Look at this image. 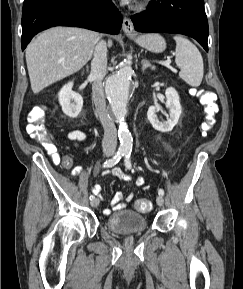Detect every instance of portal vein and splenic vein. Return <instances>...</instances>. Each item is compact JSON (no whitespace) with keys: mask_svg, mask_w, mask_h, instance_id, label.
Instances as JSON below:
<instances>
[{"mask_svg":"<svg viewBox=\"0 0 243 289\" xmlns=\"http://www.w3.org/2000/svg\"><path fill=\"white\" fill-rule=\"evenodd\" d=\"M158 63L164 66H169L171 63V60L168 58L166 61H158Z\"/></svg>","mask_w":243,"mask_h":289,"instance_id":"1","label":"portal vein and splenic vein"}]
</instances>
